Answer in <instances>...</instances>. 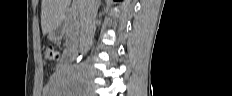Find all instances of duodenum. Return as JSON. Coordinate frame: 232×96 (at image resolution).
<instances>
[{"mask_svg": "<svg viewBox=\"0 0 232 96\" xmlns=\"http://www.w3.org/2000/svg\"><path fill=\"white\" fill-rule=\"evenodd\" d=\"M74 53L73 52H66L65 54V60L66 62L74 61Z\"/></svg>", "mask_w": 232, "mask_h": 96, "instance_id": "obj_1", "label": "duodenum"}]
</instances>
